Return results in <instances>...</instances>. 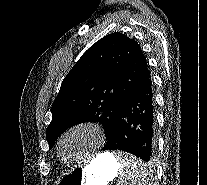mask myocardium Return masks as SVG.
<instances>
[{"label": "myocardium", "mask_w": 207, "mask_h": 185, "mask_svg": "<svg viewBox=\"0 0 207 185\" xmlns=\"http://www.w3.org/2000/svg\"><path fill=\"white\" fill-rule=\"evenodd\" d=\"M79 129H86V130H89L90 132H92V134L95 136V138L98 141V145L96 147H94L93 149H91L89 152H87L82 157H79V158L74 159V160H67L62 154L63 141L67 138V136L70 133H72L75 130H79ZM105 137H106L105 130L97 122H94V121H81V122L75 123L72 126H70L66 131H64V133L61 135V137L58 141V144H57L58 156L60 157V159L63 162H65L67 164H79V163L85 161L86 159L94 157L98 154V146L105 139Z\"/></svg>", "instance_id": "myocardium-1"}]
</instances>
